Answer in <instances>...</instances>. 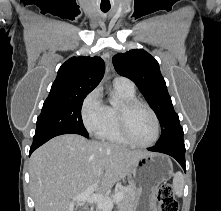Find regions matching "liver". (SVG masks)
<instances>
[{
  "instance_id": "1",
  "label": "liver",
  "mask_w": 221,
  "mask_h": 211,
  "mask_svg": "<svg viewBox=\"0 0 221 211\" xmlns=\"http://www.w3.org/2000/svg\"><path fill=\"white\" fill-rule=\"evenodd\" d=\"M146 154L76 134L51 139L30 158L35 211H74V196L95 184V190L104 194Z\"/></svg>"
}]
</instances>
